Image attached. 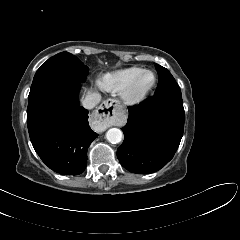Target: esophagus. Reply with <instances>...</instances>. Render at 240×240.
<instances>
[{"instance_id":"1","label":"esophagus","mask_w":240,"mask_h":240,"mask_svg":"<svg viewBox=\"0 0 240 240\" xmlns=\"http://www.w3.org/2000/svg\"><path fill=\"white\" fill-rule=\"evenodd\" d=\"M119 107L118 101L108 99L104 101L95 112V121L104 128L110 127L116 117L115 111Z\"/></svg>"}]
</instances>
